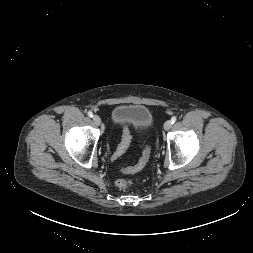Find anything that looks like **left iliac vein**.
I'll use <instances>...</instances> for the list:
<instances>
[{"instance_id": "obj_1", "label": "left iliac vein", "mask_w": 253, "mask_h": 253, "mask_svg": "<svg viewBox=\"0 0 253 253\" xmlns=\"http://www.w3.org/2000/svg\"><path fill=\"white\" fill-rule=\"evenodd\" d=\"M171 126H172L171 120H168V121H166L165 124H164V129H165L166 131H168V130H170Z\"/></svg>"}]
</instances>
